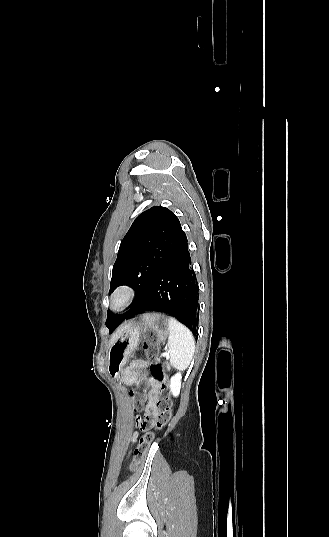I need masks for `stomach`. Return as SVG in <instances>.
I'll use <instances>...</instances> for the list:
<instances>
[{
	"label": "stomach",
	"instance_id": "1",
	"mask_svg": "<svg viewBox=\"0 0 329 537\" xmlns=\"http://www.w3.org/2000/svg\"><path fill=\"white\" fill-rule=\"evenodd\" d=\"M169 330V318L160 313L145 314L139 323H131L109 347L108 372L110 375L117 377L120 374L142 336L152 333L157 341L161 342L168 337Z\"/></svg>",
	"mask_w": 329,
	"mask_h": 537
}]
</instances>
